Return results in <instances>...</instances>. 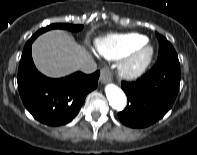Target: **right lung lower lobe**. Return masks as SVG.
Returning a JSON list of instances; mask_svg holds the SVG:
<instances>
[{
	"instance_id": "98d812e1",
	"label": "right lung lower lobe",
	"mask_w": 197,
	"mask_h": 155,
	"mask_svg": "<svg viewBox=\"0 0 197 155\" xmlns=\"http://www.w3.org/2000/svg\"><path fill=\"white\" fill-rule=\"evenodd\" d=\"M29 40L23 50L18 71V90L27 110L35 119L49 126L64 125L79 112L87 94L97 87L100 72L86 75L76 72L51 79L34 66Z\"/></svg>"
}]
</instances>
